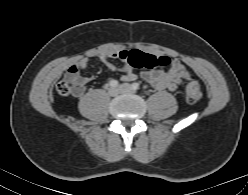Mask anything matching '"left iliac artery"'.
Listing matches in <instances>:
<instances>
[{
	"mask_svg": "<svg viewBox=\"0 0 248 195\" xmlns=\"http://www.w3.org/2000/svg\"><path fill=\"white\" fill-rule=\"evenodd\" d=\"M132 88H133V90H138L139 89V84L138 83H133L132 84Z\"/></svg>",
	"mask_w": 248,
	"mask_h": 195,
	"instance_id": "obj_1",
	"label": "left iliac artery"
}]
</instances>
